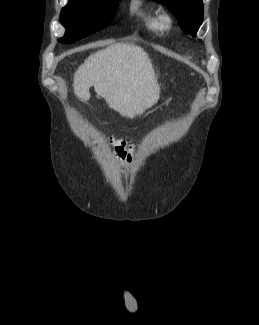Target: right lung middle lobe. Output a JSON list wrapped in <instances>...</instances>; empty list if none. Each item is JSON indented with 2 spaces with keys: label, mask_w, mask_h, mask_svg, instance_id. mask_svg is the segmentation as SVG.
Masks as SVG:
<instances>
[{
  "label": "right lung middle lobe",
  "mask_w": 259,
  "mask_h": 325,
  "mask_svg": "<svg viewBox=\"0 0 259 325\" xmlns=\"http://www.w3.org/2000/svg\"><path fill=\"white\" fill-rule=\"evenodd\" d=\"M119 0H68L60 21L66 28L58 42L73 43L105 28L113 19Z\"/></svg>",
  "instance_id": "obj_1"
}]
</instances>
